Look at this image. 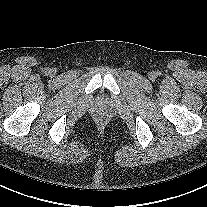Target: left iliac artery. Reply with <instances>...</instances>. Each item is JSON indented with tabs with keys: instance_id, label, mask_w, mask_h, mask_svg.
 Masks as SVG:
<instances>
[{
	"instance_id": "obj_1",
	"label": "left iliac artery",
	"mask_w": 207,
	"mask_h": 207,
	"mask_svg": "<svg viewBox=\"0 0 207 207\" xmlns=\"http://www.w3.org/2000/svg\"><path fill=\"white\" fill-rule=\"evenodd\" d=\"M156 75H157V76H160V75H161V73H160V72H157V73H156Z\"/></svg>"
}]
</instances>
